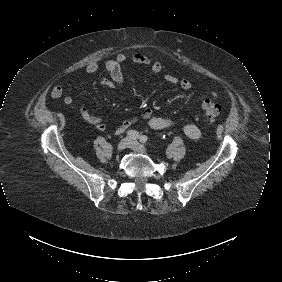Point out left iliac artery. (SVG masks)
Wrapping results in <instances>:
<instances>
[{
  "label": "left iliac artery",
  "instance_id": "obj_1",
  "mask_svg": "<svg viewBox=\"0 0 282 282\" xmlns=\"http://www.w3.org/2000/svg\"><path fill=\"white\" fill-rule=\"evenodd\" d=\"M139 140H140V142H142V143H146L147 140H148V138H147V136H145V135H141V136L139 137Z\"/></svg>",
  "mask_w": 282,
  "mask_h": 282
}]
</instances>
